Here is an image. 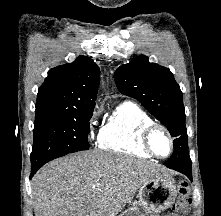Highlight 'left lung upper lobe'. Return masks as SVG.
Masks as SVG:
<instances>
[{
  "label": "left lung upper lobe",
  "mask_w": 221,
  "mask_h": 216,
  "mask_svg": "<svg viewBox=\"0 0 221 216\" xmlns=\"http://www.w3.org/2000/svg\"><path fill=\"white\" fill-rule=\"evenodd\" d=\"M114 79L122 94L137 99L173 137H177L174 149L188 151L182 92L168 68L149 63L146 56H139L120 66Z\"/></svg>",
  "instance_id": "5c2ea615"
}]
</instances>
